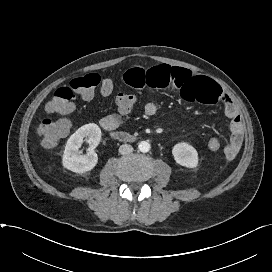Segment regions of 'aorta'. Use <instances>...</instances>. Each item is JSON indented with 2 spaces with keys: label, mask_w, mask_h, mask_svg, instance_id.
<instances>
[{
  "label": "aorta",
  "mask_w": 272,
  "mask_h": 272,
  "mask_svg": "<svg viewBox=\"0 0 272 272\" xmlns=\"http://www.w3.org/2000/svg\"><path fill=\"white\" fill-rule=\"evenodd\" d=\"M150 148V144L147 141H141L138 145V149L143 153L148 152Z\"/></svg>",
  "instance_id": "obj_1"
}]
</instances>
